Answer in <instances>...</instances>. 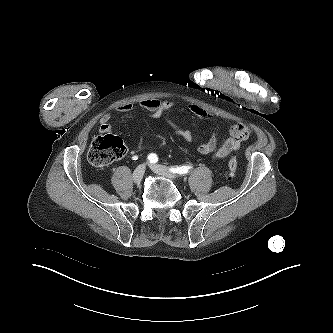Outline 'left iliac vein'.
Returning <instances> with one entry per match:
<instances>
[{
	"instance_id": "left-iliac-vein-1",
	"label": "left iliac vein",
	"mask_w": 333,
	"mask_h": 333,
	"mask_svg": "<svg viewBox=\"0 0 333 333\" xmlns=\"http://www.w3.org/2000/svg\"><path fill=\"white\" fill-rule=\"evenodd\" d=\"M150 168L154 173H156L160 176L166 177V178L171 179V180L178 179V175H175L167 167H165L163 165L151 164Z\"/></svg>"
}]
</instances>
